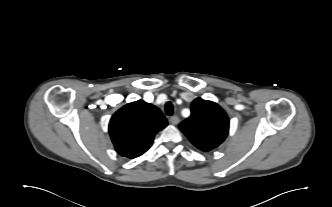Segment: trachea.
Instances as JSON below:
<instances>
[{"mask_svg":"<svg viewBox=\"0 0 332 207\" xmlns=\"http://www.w3.org/2000/svg\"><path fill=\"white\" fill-rule=\"evenodd\" d=\"M165 112L168 116H171L174 113V107L170 101L165 104Z\"/></svg>","mask_w":332,"mask_h":207,"instance_id":"obj_1","label":"trachea"}]
</instances>
